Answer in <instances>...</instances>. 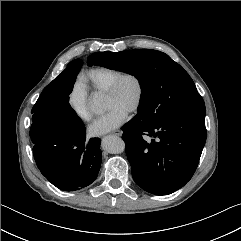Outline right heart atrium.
<instances>
[{
	"mask_svg": "<svg viewBox=\"0 0 241 241\" xmlns=\"http://www.w3.org/2000/svg\"><path fill=\"white\" fill-rule=\"evenodd\" d=\"M68 104L75 116L81 121L89 122L92 119L88 90L81 82L76 81L73 84L68 95Z\"/></svg>",
	"mask_w": 241,
	"mask_h": 241,
	"instance_id": "right-heart-atrium-1",
	"label": "right heart atrium"
}]
</instances>
